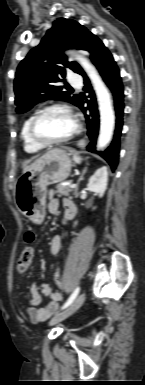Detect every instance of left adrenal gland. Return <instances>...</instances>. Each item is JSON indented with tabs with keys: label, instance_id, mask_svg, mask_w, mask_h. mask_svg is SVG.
<instances>
[{
	"label": "left adrenal gland",
	"instance_id": "left-adrenal-gland-1",
	"mask_svg": "<svg viewBox=\"0 0 145 385\" xmlns=\"http://www.w3.org/2000/svg\"><path fill=\"white\" fill-rule=\"evenodd\" d=\"M86 171H87V167L84 168V170H83V172H82V174L78 180V184L81 182V180H83V177H84ZM77 189H78V187L75 189V192L77 191Z\"/></svg>",
	"mask_w": 145,
	"mask_h": 385
}]
</instances>
